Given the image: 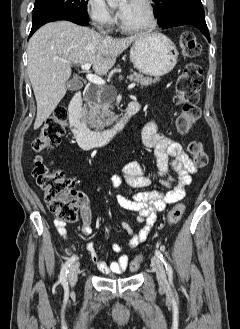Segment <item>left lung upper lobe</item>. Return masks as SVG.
<instances>
[{
    "label": "left lung upper lobe",
    "instance_id": "obj_1",
    "mask_svg": "<svg viewBox=\"0 0 240 329\" xmlns=\"http://www.w3.org/2000/svg\"><path fill=\"white\" fill-rule=\"evenodd\" d=\"M156 4L154 15L162 26L169 18L179 14L204 16L201 0H153Z\"/></svg>",
    "mask_w": 240,
    "mask_h": 329
}]
</instances>
